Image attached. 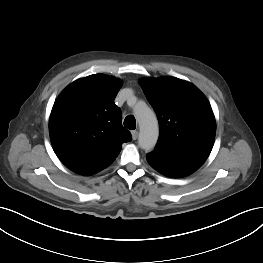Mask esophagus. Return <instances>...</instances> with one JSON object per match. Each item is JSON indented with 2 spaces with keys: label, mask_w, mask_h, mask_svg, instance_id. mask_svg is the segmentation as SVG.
I'll use <instances>...</instances> for the list:
<instances>
[{
  "label": "esophagus",
  "mask_w": 263,
  "mask_h": 263,
  "mask_svg": "<svg viewBox=\"0 0 263 263\" xmlns=\"http://www.w3.org/2000/svg\"><path fill=\"white\" fill-rule=\"evenodd\" d=\"M131 134H132V139L133 140H136L138 138V131L134 130V131L131 132Z\"/></svg>",
  "instance_id": "obj_1"
}]
</instances>
